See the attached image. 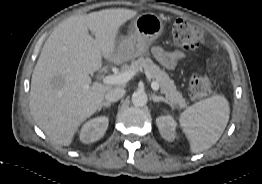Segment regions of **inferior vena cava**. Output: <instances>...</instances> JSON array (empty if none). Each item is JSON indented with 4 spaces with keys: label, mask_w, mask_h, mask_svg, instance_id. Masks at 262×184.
I'll use <instances>...</instances> for the list:
<instances>
[{
    "label": "inferior vena cava",
    "mask_w": 262,
    "mask_h": 184,
    "mask_svg": "<svg viewBox=\"0 0 262 184\" xmlns=\"http://www.w3.org/2000/svg\"><path fill=\"white\" fill-rule=\"evenodd\" d=\"M125 94V90L123 88H112L105 94V99L107 102H115L118 101Z\"/></svg>",
    "instance_id": "1"
}]
</instances>
